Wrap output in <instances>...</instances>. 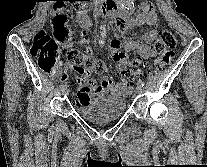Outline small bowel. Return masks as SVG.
<instances>
[{"mask_svg": "<svg viewBox=\"0 0 207 167\" xmlns=\"http://www.w3.org/2000/svg\"><path fill=\"white\" fill-rule=\"evenodd\" d=\"M76 5H80L81 1H75ZM75 8V5H72ZM86 8V5H83ZM78 12V9H75ZM157 21V16L154 12V7L150 3H146L142 6V13L134 20L133 23L127 24L126 19L119 18L116 21V25L122 33H126L129 29H136L144 24H154ZM158 35L155 29L145 31L141 34L137 41H131L121 47L120 43L112 42L110 50L114 60L120 67L124 66H139L144 59L153 57L156 54L155 49L151 46L154 43ZM105 29L102 28L99 35L98 44L95 47L99 51H104ZM80 42L84 44H90V39L87 36L86 31L81 33ZM136 51L138 57L134 60H129L126 52ZM71 71L78 73L79 88L77 92V98L75 103L85 104L91 101L93 98L104 96H124L132 92V87H127L122 83L116 82L111 77L101 78L99 84L89 78L88 72L84 69H77L69 64L63 66L61 71V80L66 83L69 73Z\"/></svg>", "mask_w": 207, "mask_h": 167, "instance_id": "1", "label": "small bowel"}]
</instances>
